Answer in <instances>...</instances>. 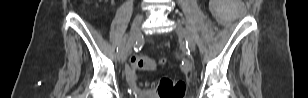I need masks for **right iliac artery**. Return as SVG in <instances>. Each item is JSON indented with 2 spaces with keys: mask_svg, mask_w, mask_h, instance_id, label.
Returning a JSON list of instances; mask_svg holds the SVG:
<instances>
[{
  "mask_svg": "<svg viewBox=\"0 0 308 98\" xmlns=\"http://www.w3.org/2000/svg\"><path fill=\"white\" fill-rule=\"evenodd\" d=\"M126 39H127V35H125V37L121 40L120 44L118 45L117 47V53L118 54H121L124 50V46H125V43H126Z\"/></svg>",
  "mask_w": 308,
  "mask_h": 98,
  "instance_id": "1",
  "label": "right iliac artery"
}]
</instances>
